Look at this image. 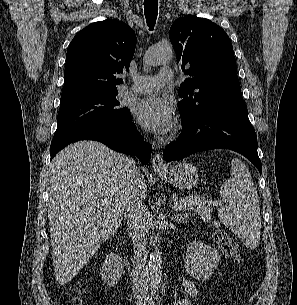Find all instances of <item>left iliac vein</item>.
<instances>
[{"label":"left iliac vein","instance_id":"left-iliac-vein-1","mask_svg":"<svg viewBox=\"0 0 297 305\" xmlns=\"http://www.w3.org/2000/svg\"><path fill=\"white\" fill-rule=\"evenodd\" d=\"M148 305H154V304L150 303V304H148Z\"/></svg>","mask_w":297,"mask_h":305}]
</instances>
